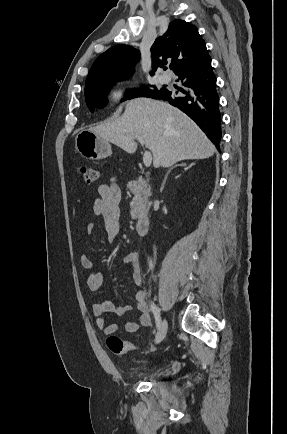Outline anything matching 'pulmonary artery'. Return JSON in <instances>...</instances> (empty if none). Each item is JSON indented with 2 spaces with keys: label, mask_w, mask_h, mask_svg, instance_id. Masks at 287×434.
Here are the masks:
<instances>
[{
  "label": "pulmonary artery",
  "mask_w": 287,
  "mask_h": 434,
  "mask_svg": "<svg viewBox=\"0 0 287 434\" xmlns=\"http://www.w3.org/2000/svg\"><path fill=\"white\" fill-rule=\"evenodd\" d=\"M158 80L160 83H168L171 80V77L169 75L163 74L159 76Z\"/></svg>",
  "instance_id": "1"
}]
</instances>
